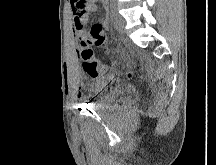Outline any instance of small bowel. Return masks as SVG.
<instances>
[{
  "label": "small bowel",
  "instance_id": "small-bowel-1",
  "mask_svg": "<svg viewBox=\"0 0 216 165\" xmlns=\"http://www.w3.org/2000/svg\"><path fill=\"white\" fill-rule=\"evenodd\" d=\"M106 3V0H86V5H75V8L72 6L73 13V22H72V38L76 43L77 41H86L87 34L84 30L86 23L88 22L90 15L97 10V3ZM109 23L107 15H103L100 19V24L107 26ZM86 73L90 77H96L99 74L90 72L85 68ZM80 97V96H79Z\"/></svg>",
  "mask_w": 216,
  "mask_h": 165
}]
</instances>
